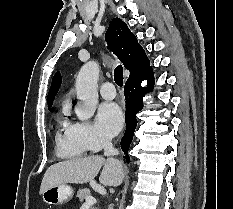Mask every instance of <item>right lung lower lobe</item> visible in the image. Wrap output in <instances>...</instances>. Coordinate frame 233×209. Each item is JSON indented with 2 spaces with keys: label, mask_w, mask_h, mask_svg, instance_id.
Here are the masks:
<instances>
[{
  "label": "right lung lower lobe",
  "mask_w": 233,
  "mask_h": 209,
  "mask_svg": "<svg viewBox=\"0 0 233 209\" xmlns=\"http://www.w3.org/2000/svg\"><path fill=\"white\" fill-rule=\"evenodd\" d=\"M146 79L148 80L147 88H143L141 87V82ZM153 86L154 74L152 67L143 74L127 80L125 83L124 95L126 99V131L121 141V148L125 154L128 152L136 128L137 120L135 115L143 108V97L146 92L153 89ZM125 158L129 161L128 155H126Z\"/></svg>",
  "instance_id": "obj_1"
}]
</instances>
